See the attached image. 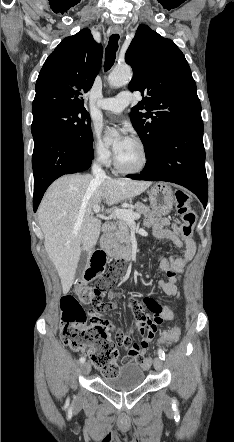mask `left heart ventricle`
<instances>
[{"label": "left heart ventricle", "instance_id": "obj_1", "mask_svg": "<svg viewBox=\"0 0 234 442\" xmlns=\"http://www.w3.org/2000/svg\"><path fill=\"white\" fill-rule=\"evenodd\" d=\"M117 147L118 143L115 144V149ZM116 156L120 165L127 169L137 167L142 159L140 149L133 141L123 150L117 151Z\"/></svg>", "mask_w": 234, "mask_h": 442}]
</instances>
